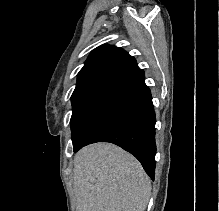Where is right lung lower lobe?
<instances>
[{
    "mask_svg": "<svg viewBox=\"0 0 219 211\" xmlns=\"http://www.w3.org/2000/svg\"><path fill=\"white\" fill-rule=\"evenodd\" d=\"M144 71L112 88L73 142L74 152L95 142L114 143L134 155L154 180L155 112Z\"/></svg>",
    "mask_w": 219,
    "mask_h": 211,
    "instance_id": "obj_1",
    "label": "right lung lower lobe"
}]
</instances>
